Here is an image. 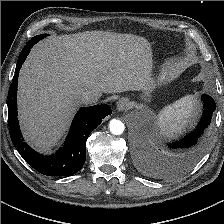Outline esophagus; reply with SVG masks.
I'll return each instance as SVG.
<instances>
[{"label":"esophagus","instance_id":"obj_1","mask_svg":"<svg viewBox=\"0 0 224 224\" xmlns=\"http://www.w3.org/2000/svg\"><path fill=\"white\" fill-rule=\"evenodd\" d=\"M116 107L118 111H126L130 108V102L127 98H121L117 101Z\"/></svg>","mask_w":224,"mask_h":224}]
</instances>
